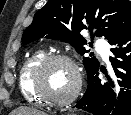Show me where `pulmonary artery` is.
I'll list each match as a JSON object with an SVG mask.
<instances>
[{"instance_id": "e3ab8cb5", "label": "pulmonary artery", "mask_w": 131, "mask_h": 115, "mask_svg": "<svg viewBox=\"0 0 131 115\" xmlns=\"http://www.w3.org/2000/svg\"><path fill=\"white\" fill-rule=\"evenodd\" d=\"M96 47H97L98 51L100 52L102 58L105 61H108L110 52H109L108 46L105 43V41L98 38L96 40Z\"/></svg>"}]
</instances>
